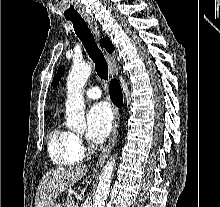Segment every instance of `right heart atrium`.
<instances>
[{
  "label": "right heart atrium",
  "mask_w": 220,
  "mask_h": 207,
  "mask_svg": "<svg viewBox=\"0 0 220 207\" xmlns=\"http://www.w3.org/2000/svg\"><path fill=\"white\" fill-rule=\"evenodd\" d=\"M78 142H79V144H80L82 147H83L84 144H85L84 140H83L82 138H80V137H78Z\"/></svg>",
  "instance_id": "d8ad5b80"
}]
</instances>
